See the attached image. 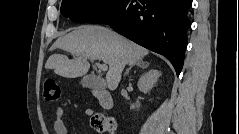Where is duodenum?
<instances>
[{"label":"duodenum","mask_w":239,"mask_h":134,"mask_svg":"<svg viewBox=\"0 0 239 134\" xmlns=\"http://www.w3.org/2000/svg\"><path fill=\"white\" fill-rule=\"evenodd\" d=\"M95 95L98 98L100 105L105 110H110L113 108L114 101L111 94L105 90L97 89L95 90Z\"/></svg>","instance_id":"obj_1"}]
</instances>
